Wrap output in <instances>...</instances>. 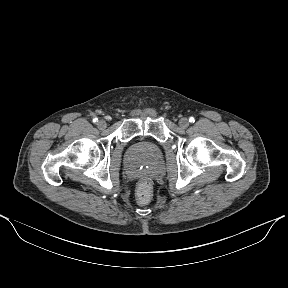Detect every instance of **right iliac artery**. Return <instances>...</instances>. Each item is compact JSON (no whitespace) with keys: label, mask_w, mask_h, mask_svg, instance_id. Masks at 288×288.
I'll return each mask as SVG.
<instances>
[{"label":"right iliac artery","mask_w":288,"mask_h":288,"mask_svg":"<svg viewBox=\"0 0 288 288\" xmlns=\"http://www.w3.org/2000/svg\"><path fill=\"white\" fill-rule=\"evenodd\" d=\"M93 122H94V123L98 122V119H97V118H94V119H93Z\"/></svg>","instance_id":"right-iliac-artery-1"}]
</instances>
